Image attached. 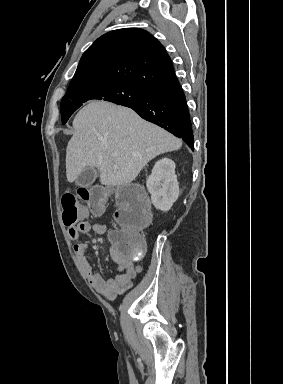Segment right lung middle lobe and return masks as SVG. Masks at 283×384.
<instances>
[{"mask_svg": "<svg viewBox=\"0 0 283 384\" xmlns=\"http://www.w3.org/2000/svg\"><path fill=\"white\" fill-rule=\"evenodd\" d=\"M147 93V89L123 82L99 83L68 89L61 101L62 124H65L70 116L86 101L99 99L121 105L141 100Z\"/></svg>", "mask_w": 283, "mask_h": 384, "instance_id": "obj_1", "label": "right lung middle lobe"}]
</instances>
